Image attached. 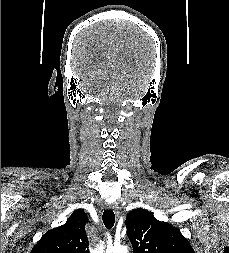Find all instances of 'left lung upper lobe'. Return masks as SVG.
I'll use <instances>...</instances> for the list:
<instances>
[{"mask_svg": "<svg viewBox=\"0 0 229 253\" xmlns=\"http://www.w3.org/2000/svg\"><path fill=\"white\" fill-rule=\"evenodd\" d=\"M126 226L134 253H195L178 229L143 208L127 215Z\"/></svg>", "mask_w": 229, "mask_h": 253, "instance_id": "obj_1", "label": "left lung upper lobe"}]
</instances>
